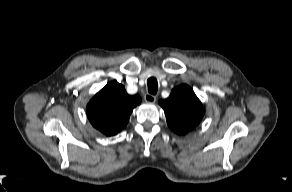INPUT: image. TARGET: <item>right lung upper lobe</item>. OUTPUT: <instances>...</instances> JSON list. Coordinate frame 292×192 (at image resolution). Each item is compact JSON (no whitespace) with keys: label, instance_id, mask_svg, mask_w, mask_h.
<instances>
[{"label":"right lung upper lobe","instance_id":"1","mask_svg":"<svg viewBox=\"0 0 292 192\" xmlns=\"http://www.w3.org/2000/svg\"><path fill=\"white\" fill-rule=\"evenodd\" d=\"M140 103L138 95H128L123 85L112 81L90 100L87 117L103 134L116 135L127 125L134 107Z\"/></svg>","mask_w":292,"mask_h":192}]
</instances>
